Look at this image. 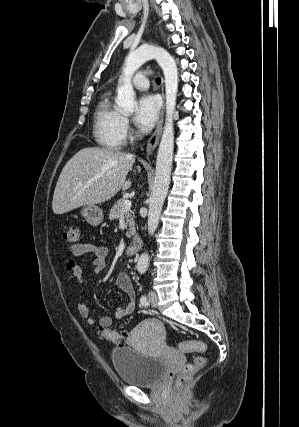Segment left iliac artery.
Instances as JSON below:
<instances>
[{"mask_svg": "<svg viewBox=\"0 0 299 427\" xmlns=\"http://www.w3.org/2000/svg\"><path fill=\"white\" fill-rule=\"evenodd\" d=\"M139 272H140V274H144V272H145V270H139ZM140 303L143 305V306H148L149 305V302H148V299H147V297L146 296H144V295H142L141 296V298H140Z\"/></svg>", "mask_w": 299, "mask_h": 427, "instance_id": "left-iliac-artery-1", "label": "left iliac artery"}]
</instances>
